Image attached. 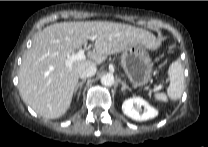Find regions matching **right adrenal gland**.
Segmentation results:
<instances>
[{"mask_svg":"<svg viewBox=\"0 0 208 147\" xmlns=\"http://www.w3.org/2000/svg\"><path fill=\"white\" fill-rule=\"evenodd\" d=\"M86 82V79H83L81 82H79L76 87H75V90H74V93L76 94L77 93V90L80 88V91H79V94H78V99L80 97V94H81V89H82V86L83 84Z\"/></svg>","mask_w":208,"mask_h":147,"instance_id":"2a0ac1e0","label":"right adrenal gland"}]
</instances>
